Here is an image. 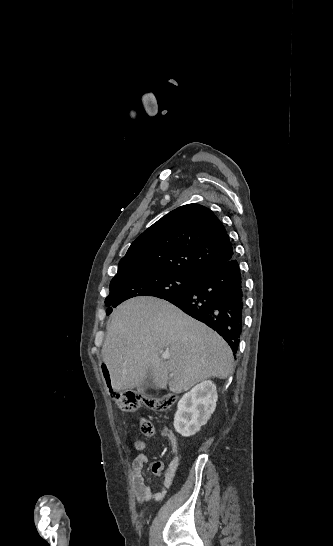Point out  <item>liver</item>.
I'll use <instances>...</instances> for the list:
<instances>
[{"label": "liver", "instance_id": "liver-1", "mask_svg": "<svg viewBox=\"0 0 333 546\" xmlns=\"http://www.w3.org/2000/svg\"><path fill=\"white\" fill-rule=\"evenodd\" d=\"M162 352L169 359L161 358ZM115 392L136 388L150 372L156 387L189 390L233 371L229 345L215 331L157 298L137 297L112 313L102 347Z\"/></svg>", "mask_w": 333, "mask_h": 546}]
</instances>
